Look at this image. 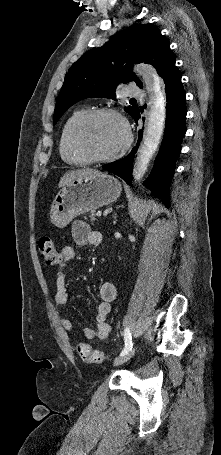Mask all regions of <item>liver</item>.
<instances>
[{
	"label": "liver",
	"mask_w": 221,
	"mask_h": 455,
	"mask_svg": "<svg viewBox=\"0 0 221 455\" xmlns=\"http://www.w3.org/2000/svg\"><path fill=\"white\" fill-rule=\"evenodd\" d=\"M101 172L95 169H77L74 171H70L66 173L59 181L58 186L59 187H64L65 185L69 184L75 179H80V178H87V177H94L97 175H100Z\"/></svg>",
	"instance_id": "1"
}]
</instances>
